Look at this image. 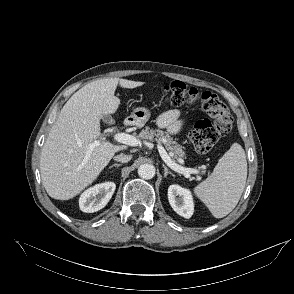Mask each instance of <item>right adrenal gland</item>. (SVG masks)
I'll use <instances>...</instances> for the list:
<instances>
[{"instance_id": "obj_1", "label": "right adrenal gland", "mask_w": 294, "mask_h": 294, "mask_svg": "<svg viewBox=\"0 0 294 294\" xmlns=\"http://www.w3.org/2000/svg\"><path fill=\"white\" fill-rule=\"evenodd\" d=\"M122 164H117V163H115V164H113V165H111L109 168H112V167H120Z\"/></svg>"}]
</instances>
